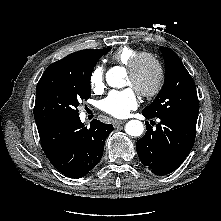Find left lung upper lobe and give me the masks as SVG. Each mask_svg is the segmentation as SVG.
<instances>
[{
    "label": "left lung upper lobe",
    "instance_id": "1",
    "mask_svg": "<svg viewBox=\"0 0 221 221\" xmlns=\"http://www.w3.org/2000/svg\"><path fill=\"white\" fill-rule=\"evenodd\" d=\"M166 63V77L155 100L142 111L150 118L196 124L199 102L195 83L178 55L161 47Z\"/></svg>",
    "mask_w": 221,
    "mask_h": 221
}]
</instances>
